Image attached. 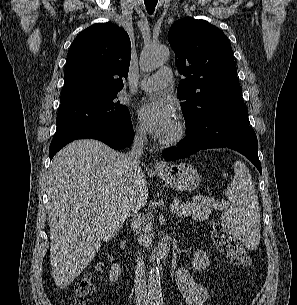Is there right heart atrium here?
Listing matches in <instances>:
<instances>
[{"label": "right heart atrium", "mask_w": 297, "mask_h": 305, "mask_svg": "<svg viewBox=\"0 0 297 305\" xmlns=\"http://www.w3.org/2000/svg\"><path fill=\"white\" fill-rule=\"evenodd\" d=\"M133 136L137 141H142L145 138V131L143 127L138 123L133 126Z\"/></svg>", "instance_id": "obj_1"}]
</instances>
